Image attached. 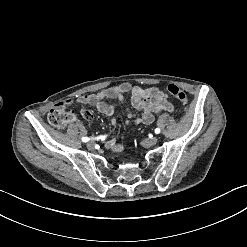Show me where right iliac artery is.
Returning <instances> with one entry per match:
<instances>
[{
  "label": "right iliac artery",
  "instance_id": "obj_1",
  "mask_svg": "<svg viewBox=\"0 0 247 247\" xmlns=\"http://www.w3.org/2000/svg\"><path fill=\"white\" fill-rule=\"evenodd\" d=\"M97 139L104 140L105 136H100ZM89 140H90V138H88V137H82V142H88Z\"/></svg>",
  "mask_w": 247,
  "mask_h": 247
}]
</instances>
